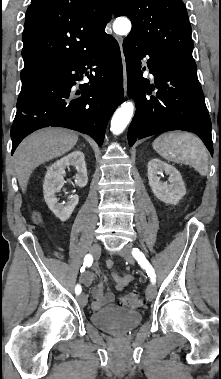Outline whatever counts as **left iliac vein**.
<instances>
[{
	"label": "left iliac vein",
	"mask_w": 221,
	"mask_h": 379,
	"mask_svg": "<svg viewBox=\"0 0 221 379\" xmlns=\"http://www.w3.org/2000/svg\"><path fill=\"white\" fill-rule=\"evenodd\" d=\"M132 245H126L120 252L121 256L130 264H134V258L131 255ZM157 290L154 284L148 285L146 289V298L152 301L156 296Z\"/></svg>",
	"instance_id": "obj_1"
}]
</instances>
